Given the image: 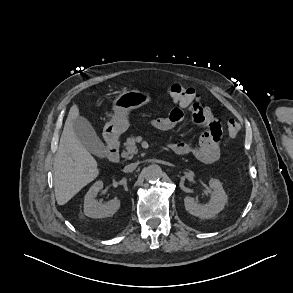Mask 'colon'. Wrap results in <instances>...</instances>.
Segmentation results:
<instances>
[{"mask_svg": "<svg viewBox=\"0 0 293 293\" xmlns=\"http://www.w3.org/2000/svg\"><path fill=\"white\" fill-rule=\"evenodd\" d=\"M167 94L180 107L186 110H192L199 100V96L192 88L185 87L180 84H172L167 87ZM227 130L230 136L235 137L239 134L241 127L236 120H229Z\"/></svg>", "mask_w": 293, "mask_h": 293, "instance_id": "1", "label": "colon"}]
</instances>
